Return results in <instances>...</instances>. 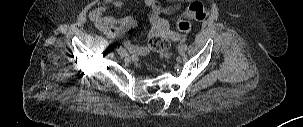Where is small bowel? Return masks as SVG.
Returning <instances> with one entry per match:
<instances>
[{
    "label": "small bowel",
    "instance_id": "obj_1",
    "mask_svg": "<svg viewBox=\"0 0 303 127\" xmlns=\"http://www.w3.org/2000/svg\"><path fill=\"white\" fill-rule=\"evenodd\" d=\"M144 5L149 9L148 19L150 22L149 36L153 37L160 34L171 33V25L163 17L165 14H172L177 7H163L157 0H144ZM109 7L121 9L123 2L121 0H106V3L90 12L89 18L94 26L104 33L108 38L115 39L123 44L130 53L135 55H144L148 52V47L132 43L129 38V32L137 27L138 22L129 16L116 19L106 15Z\"/></svg>",
    "mask_w": 303,
    "mask_h": 127
}]
</instances>
